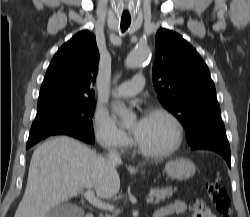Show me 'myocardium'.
<instances>
[{"label": "myocardium", "mask_w": 250, "mask_h": 217, "mask_svg": "<svg viewBox=\"0 0 250 217\" xmlns=\"http://www.w3.org/2000/svg\"><path fill=\"white\" fill-rule=\"evenodd\" d=\"M149 114L160 115L166 118L170 122L174 133L173 141L169 147L160 151L148 150L139 145L138 142L136 141L135 144L138 152H140L144 156L151 158H163L173 154L180 147L183 140V126L180 120L171 111L162 106H155L151 108L149 110Z\"/></svg>", "instance_id": "obj_1"}]
</instances>
